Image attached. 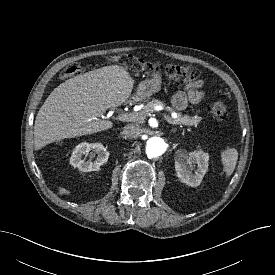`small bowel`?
I'll use <instances>...</instances> for the list:
<instances>
[{
  "instance_id": "obj_1",
  "label": "small bowel",
  "mask_w": 275,
  "mask_h": 275,
  "mask_svg": "<svg viewBox=\"0 0 275 275\" xmlns=\"http://www.w3.org/2000/svg\"><path fill=\"white\" fill-rule=\"evenodd\" d=\"M202 87V81H196L188 85L183 91H180L173 96V106L178 110H183L188 103L197 104L201 102L204 98Z\"/></svg>"
}]
</instances>
